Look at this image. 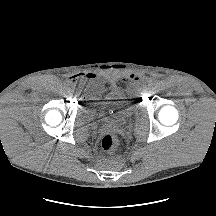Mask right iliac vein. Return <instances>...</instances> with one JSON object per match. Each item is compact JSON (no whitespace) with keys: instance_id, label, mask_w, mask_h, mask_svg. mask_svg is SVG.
Wrapping results in <instances>:
<instances>
[{"instance_id":"63e3f726","label":"right iliac vein","mask_w":216,"mask_h":216,"mask_svg":"<svg viewBox=\"0 0 216 216\" xmlns=\"http://www.w3.org/2000/svg\"><path fill=\"white\" fill-rule=\"evenodd\" d=\"M76 92H77L76 89L71 90V94H76Z\"/></svg>"}]
</instances>
